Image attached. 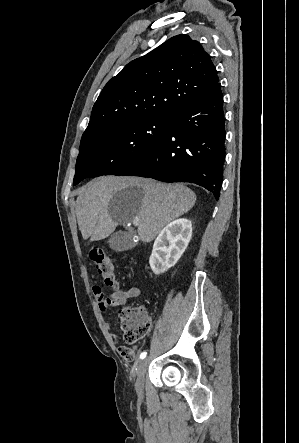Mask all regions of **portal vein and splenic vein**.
Returning <instances> with one entry per match:
<instances>
[{
  "label": "portal vein and splenic vein",
  "instance_id": "18ae733b",
  "mask_svg": "<svg viewBox=\"0 0 299 443\" xmlns=\"http://www.w3.org/2000/svg\"><path fill=\"white\" fill-rule=\"evenodd\" d=\"M132 223L134 224V225H138V223H139V218H134L133 220H132Z\"/></svg>",
  "mask_w": 299,
  "mask_h": 443
}]
</instances>
